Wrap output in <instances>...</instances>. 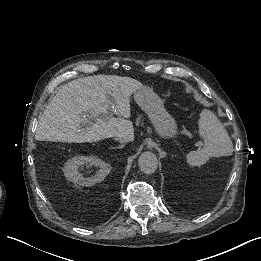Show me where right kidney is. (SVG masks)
Here are the masks:
<instances>
[{"mask_svg":"<svg viewBox=\"0 0 261 261\" xmlns=\"http://www.w3.org/2000/svg\"><path fill=\"white\" fill-rule=\"evenodd\" d=\"M84 164L96 166L100 169L96 172V175L94 177L84 178L78 172V168ZM110 170L111 167L109 164L105 163L104 161L95 156H76L67 161L64 174L69 181L81 186L89 187L103 181L109 174Z\"/></svg>","mask_w":261,"mask_h":261,"instance_id":"right-kidney-1","label":"right kidney"}]
</instances>
